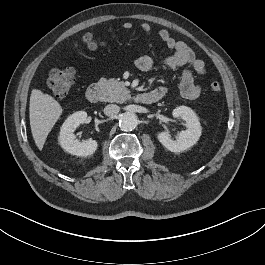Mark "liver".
Here are the masks:
<instances>
[{
  "mask_svg": "<svg viewBox=\"0 0 265 265\" xmlns=\"http://www.w3.org/2000/svg\"><path fill=\"white\" fill-rule=\"evenodd\" d=\"M61 105L49 94L33 89L30 96L29 118L33 139L42 150L48 134L62 114Z\"/></svg>",
  "mask_w": 265,
  "mask_h": 265,
  "instance_id": "6515ba94",
  "label": "liver"
}]
</instances>
